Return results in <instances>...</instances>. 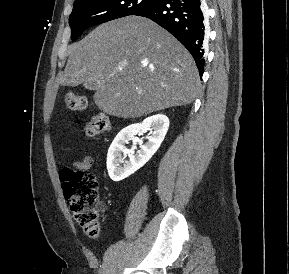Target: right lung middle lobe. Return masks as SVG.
I'll list each match as a JSON object with an SVG mask.
<instances>
[{
    "label": "right lung middle lobe",
    "instance_id": "obj_1",
    "mask_svg": "<svg viewBox=\"0 0 289 274\" xmlns=\"http://www.w3.org/2000/svg\"><path fill=\"white\" fill-rule=\"evenodd\" d=\"M155 0H75L69 17L71 37L75 41L84 30L120 17L135 15Z\"/></svg>",
    "mask_w": 289,
    "mask_h": 274
}]
</instances>
